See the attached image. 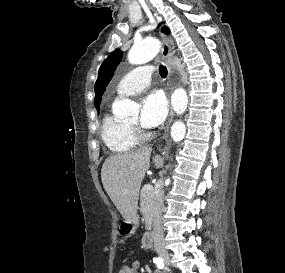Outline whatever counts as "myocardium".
<instances>
[{"label":"myocardium","mask_w":285,"mask_h":273,"mask_svg":"<svg viewBox=\"0 0 285 273\" xmlns=\"http://www.w3.org/2000/svg\"><path fill=\"white\" fill-rule=\"evenodd\" d=\"M130 129L133 131V134L137 139L147 140L151 137V133L141 130L138 125H129Z\"/></svg>","instance_id":"f54148a6"}]
</instances>
